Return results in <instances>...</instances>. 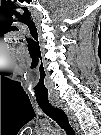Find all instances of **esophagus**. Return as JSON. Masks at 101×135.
<instances>
[{"instance_id":"esophagus-1","label":"esophagus","mask_w":101,"mask_h":135,"mask_svg":"<svg viewBox=\"0 0 101 135\" xmlns=\"http://www.w3.org/2000/svg\"><path fill=\"white\" fill-rule=\"evenodd\" d=\"M52 105L57 108H61L66 113L72 127L76 130L78 129L77 118H76L74 112L68 107V105L64 101H62V100L53 101Z\"/></svg>"}]
</instances>
